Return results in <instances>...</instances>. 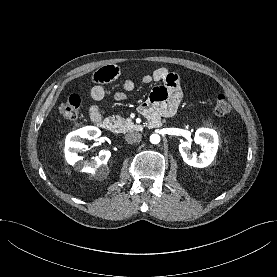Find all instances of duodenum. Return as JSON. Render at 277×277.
I'll list each match as a JSON object with an SVG mask.
<instances>
[{"label": "duodenum", "mask_w": 277, "mask_h": 277, "mask_svg": "<svg viewBox=\"0 0 277 277\" xmlns=\"http://www.w3.org/2000/svg\"><path fill=\"white\" fill-rule=\"evenodd\" d=\"M148 119H149L148 124L151 128L158 127L161 123L160 117L157 115H152L148 117ZM94 123L96 124L97 127L103 130L110 131L112 129V123L107 119L100 118L94 121Z\"/></svg>", "instance_id": "410a0bca"}]
</instances>
